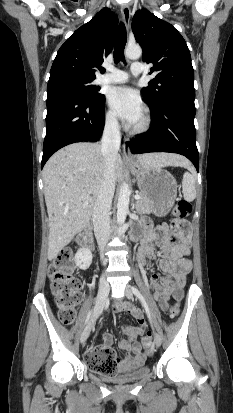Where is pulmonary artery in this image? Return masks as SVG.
Returning a JSON list of instances; mask_svg holds the SVG:
<instances>
[{"label":"pulmonary artery","mask_w":233,"mask_h":413,"mask_svg":"<svg viewBox=\"0 0 233 413\" xmlns=\"http://www.w3.org/2000/svg\"><path fill=\"white\" fill-rule=\"evenodd\" d=\"M108 72L99 77L98 83L101 84H120L128 81V74L122 70L108 68ZM133 75L138 76L143 72V67L140 63H133L131 67Z\"/></svg>","instance_id":"1"}]
</instances>
